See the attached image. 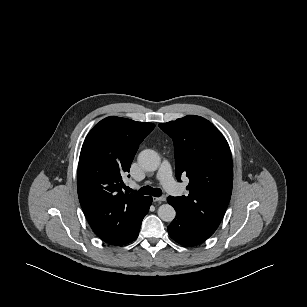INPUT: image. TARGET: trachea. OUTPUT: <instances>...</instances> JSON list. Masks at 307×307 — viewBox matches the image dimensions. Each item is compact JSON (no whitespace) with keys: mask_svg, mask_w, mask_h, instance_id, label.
Listing matches in <instances>:
<instances>
[{"mask_svg":"<svg viewBox=\"0 0 307 307\" xmlns=\"http://www.w3.org/2000/svg\"><path fill=\"white\" fill-rule=\"evenodd\" d=\"M139 192L144 195H152L154 197H160L162 195V190L159 188H152L150 186H144L140 188Z\"/></svg>","mask_w":307,"mask_h":307,"instance_id":"3493384b","label":"trachea"}]
</instances>
